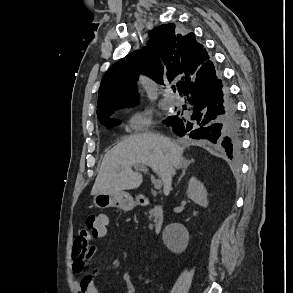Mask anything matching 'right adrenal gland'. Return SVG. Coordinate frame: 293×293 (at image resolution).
Masks as SVG:
<instances>
[{
    "label": "right adrenal gland",
    "mask_w": 293,
    "mask_h": 293,
    "mask_svg": "<svg viewBox=\"0 0 293 293\" xmlns=\"http://www.w3.org/2000/svg\"><path fill=\"white\" fill-rule=\"evenodd\" d=\"M194 162V160L193 159H191V160H183L182 161V164H181V168H182V173H181V175H180V177L178 178V182H177V184L180 182V180L183 178V176L186 174V170H187V168H188V166L191 164V163H193Z\"/></svg>",
    "instance_id": "2a0ac1e0"
}]
</instances>
